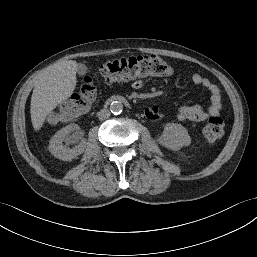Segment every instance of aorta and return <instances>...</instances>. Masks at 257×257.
I'll return each mask as SVG.
<instances>
[{
    "mask_svg": "<svg viewBox=\"0 0 257 257\" xmlns=\"http://www.w3.org/2000/svg\"><path fill=\"white\" fill-rule=\"evenodd\" d=\"M110 111L115 115L121 114L123 111V104L120 101H113L110 104Z\"/></svg>",
    "mask_w": 257,
    "mask_h": 257,
    "instance_id": "obj_1",
    "label": "aorta"
}]
</instances>
